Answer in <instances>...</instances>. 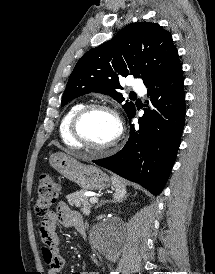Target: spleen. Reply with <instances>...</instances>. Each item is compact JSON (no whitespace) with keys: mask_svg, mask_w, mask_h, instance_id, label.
Segmentation results:
<instances>
[{"mask_svg":"<svg viewBox=\"0 0 215 274\" xmlns=\"http://www.w3.org/2000/svg\"><path fill=\"white\" fill-rule=\"evenodd\" d=\"M111 179H112V184L115 188L114 197L118 199L122 196L125 186L121 183V181L118 178L113 176L111 177Z\"/></svg>","mask_w":215,"mask_h":274,"instance_id":"obj_1","label":"spleen"}]
</instances>
